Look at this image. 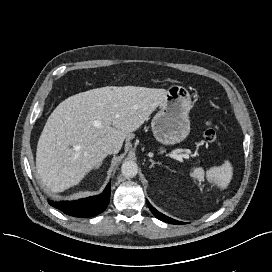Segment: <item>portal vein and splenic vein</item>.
Returning <instances> with one entry per match:
<instances>
[{"label": "portal vein and splenic vein", "mask_w": 272, "mask_h": 272, "mask_svg": "<svg viewBox=\"0 0 272 272\" xmlns=\"http://www.w3.org/2000/svg\"><path fill=\"white\" fill-rule=\"evenodd\" d=\"M170 157L182 161L183 158L189 159L190 155L189 154H169Z\"/></svg>", "instance_id": "portal-vein-and-splenic-vein-1"}]
</instances>
